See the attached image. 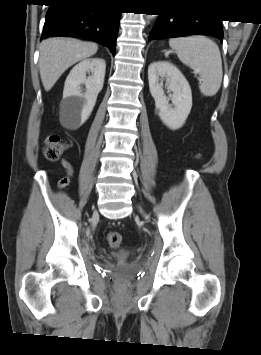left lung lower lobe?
Listing matches in <instances>:
<instances>
[{
  "instance_id": "0a47b994",
  "label": "left lung lower lobe",
  "mask_w": 261,
  "mask_h": 355,
  "mask_svg": "<svg viewBox=\"0 0 261 355\" xmlns=\"http://www.w3.org/2000/svg\"><path fill=\"white\" fill-rule=\"evenodd\" d=\"M188 35L214 36L222 41L223 29L221 20L158 15L148 40L150 41L154 38H175Z\"/></svg>"
}]
</instances>
